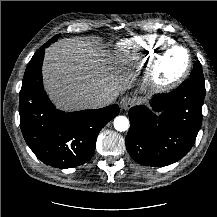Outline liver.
Here are the masks:
<instances>
[{"mask_svg":"<svg viewBox=\"0 0 217 217\" xmlns=\"http://www.w3.org/2000/svg\"><path fill=\"white\" fill-rule=\"evenodd\" d=\"M43 80L57 107L82 110L89 108L87 96L105 93L115 99L131 87L133 77L94 42L69 38L57 41L46 50Z\"/></svg>","mask_w":217,"mask_h":217,"instance_id":"obj_1","label":"liver"}]
</instances>
